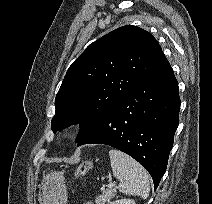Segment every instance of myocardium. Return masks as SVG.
<instances>
[{"mask_svg":"<svg viewBox=\"0 0 212 204\" xmlns=\"http://www.w3.org/2000/svg\"><path fill=\"white\" fill-rule=\"evenodd\" d=\"M61 137H62V139H64V140H71V139L74 137V133H73V131H71V130H64V131L61 133Z\"/></svg>","mask_w":212,"mask_h":204,"instance_id":"myocardium-1","label":"myocardium"}]
</instances>
